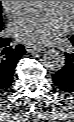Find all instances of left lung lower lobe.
<instances>
[{
  "instance_id": "obj_1",
  "label": "left lung lower lobe",
  "mask_w": 74,
  "mask_h": 122,
  "mask_svg": "<svg viewBox=\"0 0 74 122\" xmlns=\"http://www.w3.org/2000/svg\"><path fill=\"white\" fill-rule=\"evenodd\" d=\"M69 40L74 46V35ZM52 79L59 90L74 93V53L66 54L65 66L53 74Z\"/></svg>"
}]
</instances>
